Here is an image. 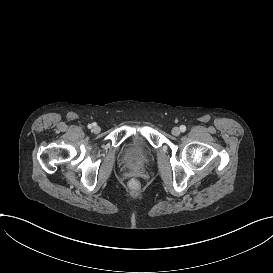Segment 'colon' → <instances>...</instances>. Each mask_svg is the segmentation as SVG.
<instances>
[{"label": "colon", "instance_id": "colon-1", "mask_svg": "<svg viewBox=\"0 0 273 273\" xmlns=\"http://www.w3.org/2000/svg\"><path fill=\"white\" fill-rule=\"evenodd\" d=\"M129 187H130L131 190L136 191V190L139 189L140 184H139V182H138L136 179H133V180L130 182Z\"/></svg>", "mask_w": 273, "mask_h": 273}]
</instances>
